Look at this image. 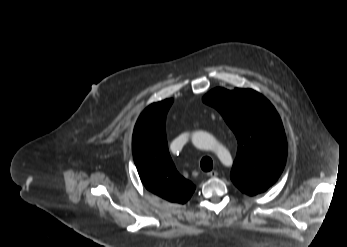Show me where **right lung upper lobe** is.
<instances>
[{
	"instance_id": "right-lung-upper-lobe-1",
	"label": "right lung upper lobe",
	"mask_w": 347,
	"mask_h": 247,
	"mask_svg": "<svg viewBox=\"0 0 347 247\" xmlns=\"http://www.w3.org/2000/svg\"><path fill=\"white\" fill-rule=\"evenodd\" d=\"M172 102L166 99L153 103L140 115L133 133V156L140 179L149 191L184 204L195 186L177 172L168 151L165 119Z\"/></svg>"
}]
</instances>
